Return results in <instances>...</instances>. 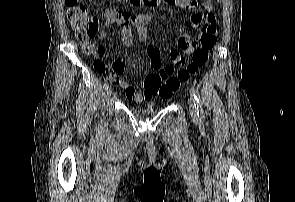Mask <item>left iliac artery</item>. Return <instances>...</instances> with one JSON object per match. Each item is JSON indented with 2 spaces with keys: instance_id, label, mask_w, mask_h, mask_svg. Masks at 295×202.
I'll return each instance as SVG.
<instances>
[{
  "instance_id": "1",
  "label": "left iliac artery",
  "mask_w": 295,
  "mask_h": 202,
  "mask_svg": "<svg viewBox=\"0 0 295 202\" xmlns=\"http://www.w3.org/2000/svg\"><path fill=\"white\" fill-rule=\"evenodd\" d=\"M190 91H191L195 101L197 102V115H198V118L200 120H203L204 119V111H203L202 102H201L199 92H198V90H196L194 88H191Z\"/></svg>"
}]
</instances>
